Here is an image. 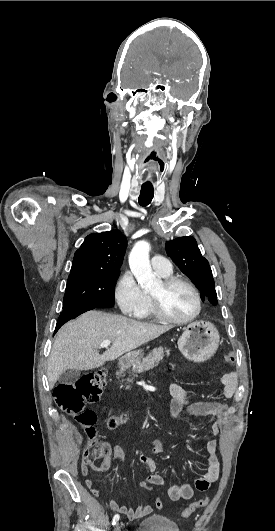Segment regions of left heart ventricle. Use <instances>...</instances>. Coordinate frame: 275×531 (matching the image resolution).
I'll use <instances>...</instances> for the list:
<instances>
[{
	"label": "left heart ventricle",
	"mask_w": 275,
	"mask_h": 531,
	"mask_svg": "<svg viewBox=\"0 0 275 531\" xmlns=\"http://www.w3.org/2000/svg\"><path fill=\"white\" fill-rule=\"evenodd\" d=\"M151 293L160 297L163 309L173 318H186L195 310L196 303L192 292L181 283L164 287L160 281Z\"/></svg>",
	"instance_id": "1"
}]
</instances>
